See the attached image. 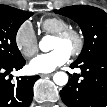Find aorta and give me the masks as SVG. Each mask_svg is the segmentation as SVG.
I'll use <instances>...</instances> for the list:
<instances>
[{"label": "aorta", "instance_id": "aorta-1", "mask_svg": "<svg viewBox=\"0 0 107 107\" xmlns=\"http://www.w3.org/2000/svg\"><path fill=\"white\" fill-rule=\"evenodd\" d=\"M51 37L50 36H45L41 39L39 42V48L43 52H48L51 50ZM53 81L55 84L59 86H64L68 82V75L65 72H57L53 76Z\"/></svg>", "mask_w": 107, "mask_h": 107}]
</instances>
